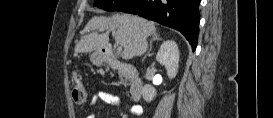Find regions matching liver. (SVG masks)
Returning a JSON list of instances; mask_svg holds the SVG:
<instances>
[{
	"instance_id": "6515ba94",
	"label": "liver",
	"mask_w": 273,
	"mask_h": 118,
	"mask_svg": "<svg viewBox=\"0 0 273 118\" xmlns=\"http://www.w3.org/2000/svg\"><path fill=\"white\" fill-rule=\"evenodd\" d=\"M106 33L98 34V31ZM85 35L75 47L77 53L101 52L110 48L109 31L113 32L116 43L124 48L121 57L125 60L143 55L147 48V38L156 33L155 23L131 15L111 17L94 16L84 28Z\"/></svg>"
}]
</instances>
